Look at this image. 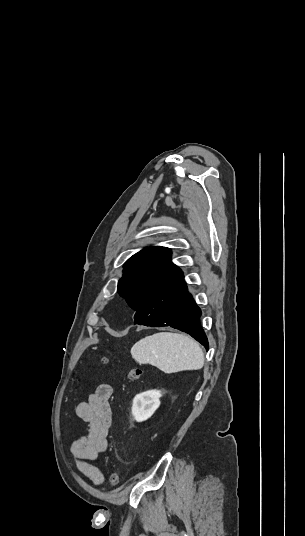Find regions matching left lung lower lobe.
Returning <instances> with one entry per match:
<instances>
[{"label": "left lung lower lobe", "instance_id": "obj_1", "mask_svg": "<svg viewBox=\"0 0 305 536\" xmlns=\"http://www.w3.org/2000/svg\"><path fill=\"white\" fill-rule=\"evenodd\" d=\"M201 310L188 293L181 274L149 299L134 316L136 324L161 327L171 326L190 334L208 350V340L200 325Z\"/></svg>", "mask_w": 305, "mask_h": 536}]
</instances>
